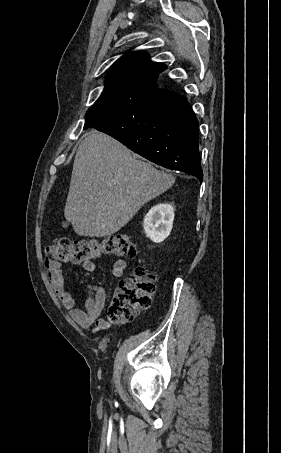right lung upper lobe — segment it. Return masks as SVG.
Segmentation results:
<instances>
[{
  "label": "right lung upper lobe",
  "instance_id": "cb5924a9",
  "mask_svg": "<svg viewBox=\"0 0 281 453\" xmlns=\"http://www.w3.org/2000/svg\"><path fill=\"white\" fill-rule=\"evenodd\" d=\"M167 68L149 60L146 52H131L119 58L108 73L107 83L99 99L88 110L129 101L159 87V75Z\"/></svg>",
  "mask_w": 281,
  "mask_h": 453
}]
</instances>
